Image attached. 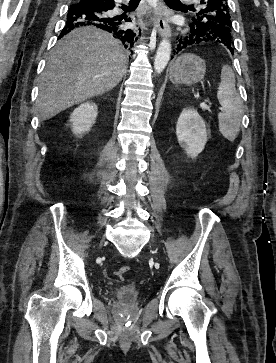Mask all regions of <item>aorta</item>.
Instances as JSON below:
<instances>
[{
  "instance_id": "aorta-1",
  "label": "aorta",
  "mask_w": 276,
  "mask_h": 363,
  "mask_svg": "<svg viewBox=\"0 0 276 363\" xmlns=\"http://www.w3.org/2000/svg\"><path fill=\"white\" fill-rule=\"evenodd\" d=\"M171 55V44L169 40L163 39L157 49V53L154 59V70L157 74H160L167 66Z\"/></svg>"
}]
</instances>
